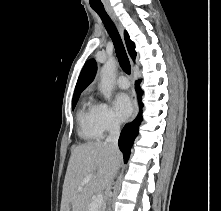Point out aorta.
<instances>
[{
	"mask_svg": "<svg viewBox=\"0 0 221 211\" xmlns=\"http://www.w3.org/2000/svg\"><path fill=\"white\" fill-rule=\"evenodd\" d=\"M116 61L113 59L108 60L101 69L100 77V91L104 98L110 100L112 90L115 82Z\"/></svg>",
	"mask_w": 221,
	"mask_h": 211,
	"instance_id": "obj_1",
	"label": "aorta"
}]
</instances>
